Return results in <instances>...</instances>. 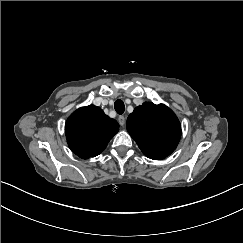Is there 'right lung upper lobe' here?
Listing matches in <instances>:
<instances>
[{
    "instance_id": "cb5924a9",
    "label": "right lung upper lobe",
    "mask_w": 243,
    "mask_h": 243,
    "mask_svg": "<svg viewBox=\"0 0 243 243\" xmlns=\"http://www.w3.org/2000/svg\"><path fill=\"white\" fill-rule=\"evenodd\" d=\"M118 130L117 121L94 105L77 109L65 125L68 145L82 159L99 155Z\"/></svg>"
}]
</instances>
